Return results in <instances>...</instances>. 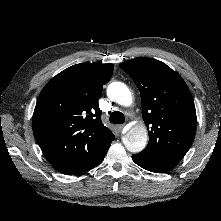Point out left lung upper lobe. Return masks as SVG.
<instances>
[{
	"mask_svg": "<svg viewBox=\"0 0 221 221\" xmlns=\"http://www.w3.org/2000/svg\"><path fill=\"white\" fill-rule=\"evenodd\" d=\"M136 83L149 133L141 154L178 164L191 147L197 128L192 94L182 77L165 63L138 57L121 63Z\"/></svg>",
	"mask_w": 221,
	"mask_h": 221,
	"instance_id": "left-lung-upper-lobe-1",
	"label": "left lung upper lobe"
}]
</instances>
